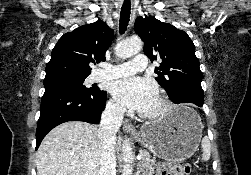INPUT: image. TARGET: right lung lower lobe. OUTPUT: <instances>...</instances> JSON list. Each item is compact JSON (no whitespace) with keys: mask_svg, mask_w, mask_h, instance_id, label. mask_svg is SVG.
Instances as JSON below:
<instances>
[{"mask_svg":"<svg viewBox=\"0 0 251 175\" xmlns=\"http://www.w3.org/2000/svg\"><path fill=\"white\" fill-rule=\"evenodd\" d=\"M107 94L98 88L85 91L79 87L54 83L45 86L36 130V150L45 135L67 121L98 124Z\"/></svg>","mask_w":251,"mask_h":175,"instance_id":"right-lung-lower-lobe-1","label":"right lung lower lobe"}]
</instances>
